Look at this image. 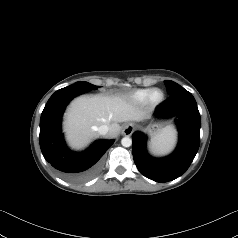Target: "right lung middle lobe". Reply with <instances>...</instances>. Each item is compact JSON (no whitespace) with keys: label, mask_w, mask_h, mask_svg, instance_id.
I'll use <instances>...</instances> for the list:
<instances>
[{"label":"right lung middle lobe","mask_w":238,"mask_h":238,"mask_svg":"<svg viewBox=\"0 0 238 238\" xmlns=\"http://www.w3.org/2000/svg\"><path fill=\"white\" fill-rule=\"evenodd\" d=\"M76 84H77L80 88L84 89V91H87V92L90 91V90H92V89H96V88H97L95 85L90 84V83L85 82V81H79V82H76Z\"/></svg>","instance_id":"1"}]
</instances>
